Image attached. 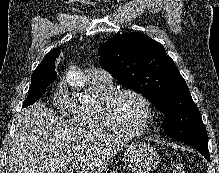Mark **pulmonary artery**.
<instances>
[{"mask_svg":"<svg viewBox=\"0 0 219 173\" xmlns=\"http://www.w3.org/2000/svg\"><path fill=\"white\" fill-rule=\"evenodd\" d=\"M88 77L90 81L101 83H112V76L101 68H91L88 70Z\"/></svg>","mask_w":219,"mask_h":173,"instance_id":"e3ab8cb5","label":"pulmonary artery"}]
</instances>
